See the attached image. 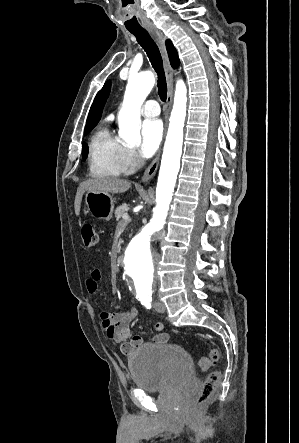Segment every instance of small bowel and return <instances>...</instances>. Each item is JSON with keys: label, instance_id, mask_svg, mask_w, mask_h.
<instances>
[{"label": "small bowel", "instance_id": "small-bowel-1", "mask_svg": "<svg viewBox=\"0 0 299 443\" xmlns=\"http://www.w3.org/2000/svg\"><path fill=\"white\" fill-rule=\"evenodd\" d=\"M100 281L101 271L91 270L85 284L87 292L95 294L99 289ZM136 315V310L131 307L113 313L102 311L99 314L101 326L107 338L114 343H123L121 350L124 354H130L144 344H163L169 340V334L165 332L162 323L155 324L154 328L159 333L146 341L139 335L132 336L130 324Z\"/></svg>", "mask_w": 299, "mask_h": 443}]
</instances>
